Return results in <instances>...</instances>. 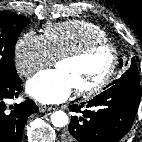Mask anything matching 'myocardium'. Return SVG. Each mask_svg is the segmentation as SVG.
I'll return each instance as SVG.
<instances>
[{"mask_svg": "<svg viewBox=\"0 0 142 142\" xmlns=\"http://www.w3.org/2000/svg\"><path fill=\"white\" fill-rule=\"evenodd\" d=\"M103 48L108 49L111 53V63L108 70L106 71L104 76L95 84L86 88H76L75 93L77 95L85 97L93 96L101 92L110 83L117 71V67L119 64L120 54L118 49L108 41H94L87 43L76 50L65 53L57 58L56 64L62 61H78L87 57L96 50Z\"/></svg>", "mask_w": 142, "mask_h": 142, "instance_id": "obj_1", "label": "myocardium"}]
</instances>
